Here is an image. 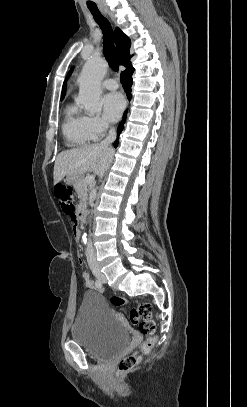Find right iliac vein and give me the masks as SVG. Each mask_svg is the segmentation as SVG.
I'll use <instances>...</instances> for the list:
<instances>
[{
  "label": "right iliac vein",
  "mask_w": 247,
  "mask_h": 407,
  "mask_svg": "<svg viewBox=\"0 0 247 407\" xmlns=\"http://www.w3.org/2000/svg\"><path fill=\"white\" fill-rule=\"evenodd\" d=\"M91 270L93 271V273L95 274V276L100 279V280H105L104 276L101 275L99 268L97 265H92L91 266Z\"/></svg>",
  "instance_id": "right-iliac-vein-1"
}]
</instances>
